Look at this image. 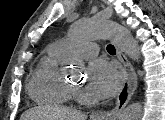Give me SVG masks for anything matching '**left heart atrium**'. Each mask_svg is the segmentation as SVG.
Segmentation results:
<instances>
[{
	"instance_id": "1",
	"label": "left heart atrium",
	"mask_w": 165,
	"mask_h": 120,
	"mask_svg": "<svg viewBox=\"0 0 165 120\" xmlns=\"http://www.w3.org/2000/svg\"><path fill=\"white\" fill-rule=\"evenodd\" d=\"M87 90L96 97L108 98L113 96L121 86L122 72L120 68L104 60H96L88 69Z\"/></svg>"
}]
</instances>
